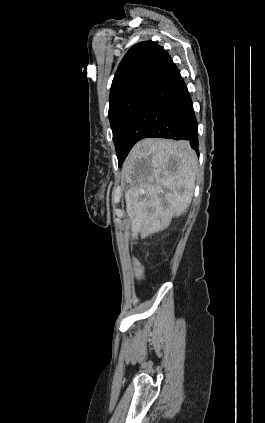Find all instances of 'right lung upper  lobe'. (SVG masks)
<instances>
[{
	"label": "right lung upper lobe",
	"mask_w": 265,
	"mask_h": 423,
	"mask_svg": "<svg viewBox=\"0 0 265 423\" xmlns=\"http://www.w3.org/2000/svg\"><path fill=\"white\" fill-rule=\"evenodd\" d=\"M173 64L156 42L132 46L120 62L110 90V105L136 92H150Z\"/></svg>",
	"instance_id": "obj_1"
}]
</instances>
